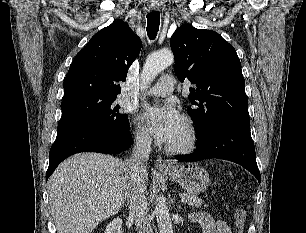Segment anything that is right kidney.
I'll return each mask as SVG.
<instances>
[{"instance_id": "right-kidney-1", "label": "right kidney", "mask_w": 306, "mask_h": 233, "mask_svg": "<svg viewBox=\"0 0 306 233\" xmlns=\"http://www.w3.org/2000/svg\"><path fill=\"white\" fill-rule=\"evenodd\" d=\"M104 233H123L122 232V220L120 218H115L110 222Z\"/></svg>"}]
</instances>
